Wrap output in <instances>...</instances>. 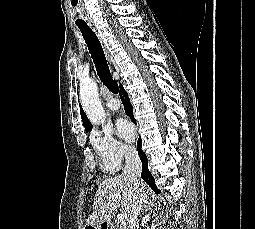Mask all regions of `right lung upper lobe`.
<instances>
[{
    "instance_id": "cb5924a9",
    "label": "right lung upper lobe",
    "mask_w": 255,
    "mask_h": 229,
    "mask_svg": "<svg viewBox=\"0 0 255 229\" xmlns=\"http://www.w3.org/2000/svg\"><path fill=\"white\" fill-rule=\"evenodd\" d=\"M80 114H81V118H82V121H83V125L85 127V129L87 131H91L92 129V124L90 123V121L88 120L85 112L83 111V109H80Z\"/></svg>"
}]
</instances>
